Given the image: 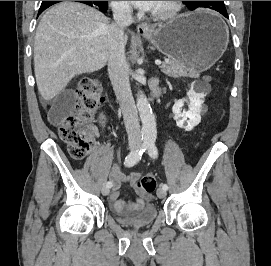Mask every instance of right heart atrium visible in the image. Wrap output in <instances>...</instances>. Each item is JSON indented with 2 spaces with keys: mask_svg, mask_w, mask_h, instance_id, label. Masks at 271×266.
Masks as SVG:
<instances>
[{
  "mask_svg": "<svg viewBox=\"0 0 271 266\" xmlns=\"http://www.w3.org/2000/svg\"><path fill=\"white\" fill-rule=\"evenodd\" d=\"M111 6L119 15L128 16L130 14L131 9L127 1H112Z\"/></svg>",
  "mask_w": 271,
  "mask_h": 266,
  "instance_id": "obj_1",
  "label": "right heart atrium"
}]
</instances>
